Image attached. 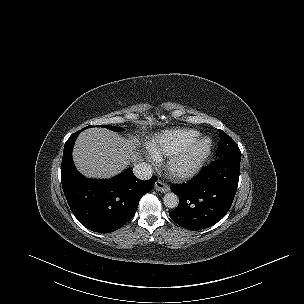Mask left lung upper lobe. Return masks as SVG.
Listing matches in <instances>:
<instances>
[{"label": "left lung upper lobe", "mask_w": 304, "mask_h": 304, "mask_svg": "<svg viewBox=\"0 0 304 304\" xmlns=\"http://www.w3.org/2000/svg\"><path fill=\"white\" fill-rule=\"evenodd\" d=\"M220 144L217 149V155L223 156L230 153H241L237 144L224 131L219 130Z\"/></svg>", "instance_id": "left-lung-upper-lobe-1"}]
</instances>
